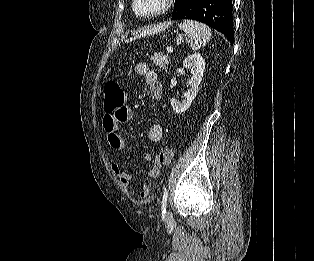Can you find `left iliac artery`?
<instances>
[{"mask_svg":"<svg viewBox=\"0 0 314 261\" xmlns=\"http://www.w3.org/2000/svg\"><path fill=\"white\" fill-rule=\"evenodd\" d=\"M167 198H168V190L165 188L163 192V198H162V213H166V204H167Z\"/></svg>","mask_w":314,"mask_h":261,"instance_id":"obj_1","label":"left iliac artery"}]
</instances>
